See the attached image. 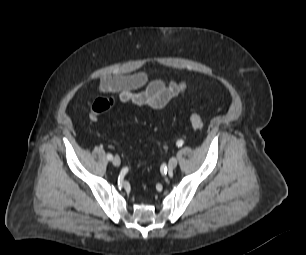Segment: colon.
Returning <instances> with one entry per match:
<instances>
[{
    "label": "colon",
    "mask_w": 306,
    "mask_h": 255,
    "mask_svg": "<svg viewBox=\"0 0 306 255\" xmlns=\"http://www.w3.org/2000/svg\"><path fill=\"white\" fill-rule=\"evenodd\" d=\"M114 105L115 101L113 98H97L91 105V118L97 120L103 113L113 108ZM189 121L195 130H201L203 128V119L198 113L192 112L189 115Z\"/></svg>",
    "instance_id": "obj_1"
}]
</instances>
